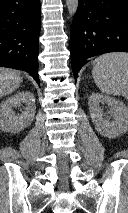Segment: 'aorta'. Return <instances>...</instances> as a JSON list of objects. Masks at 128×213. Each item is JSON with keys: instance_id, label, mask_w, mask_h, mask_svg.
I'll use <instances>...</instances> for the list:
<instances>
[{"instance_id": "obj_1", "label": "aorta", "mask_w": 128, "mask_h": 213, "mask_svg": "<svg viewBox=\"0 0 128 213\" xmlns=\"http://www.w3.org/2000/svg\"><path fill=\"white\" fill-rule=\"evenodd\" d=\"M66 5L70 17H73L77 12L79 0H66Z\"/></svg>"}]
</instances>
